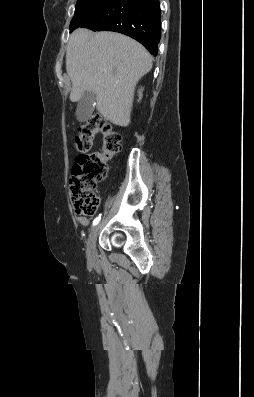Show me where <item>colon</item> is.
<instances>
[{"label": "colon", "mask_w": 254, "mask_h": 397, "mask_svg": "<svg viewBox=\"0 0 254 397\" xmlns=\"http://www.w3.org/2000/svg\"><path fill=\"white\" fill-rule=\"evenodd\" d=\"M100 134L103 145L91 151L94 138ZM121 134L101 115H92L78 129L75 147L78 151L70 177V191L74 210L79 215H94L99 206L96 188L108 173L109 161L121 149Z\"/></svg>", "instance_id": "1"}]
</instances>
